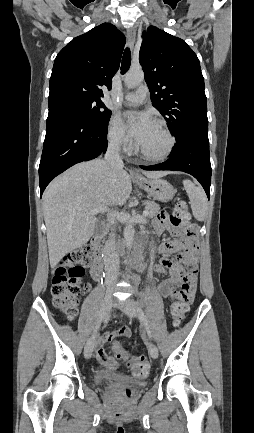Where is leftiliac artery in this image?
<instances>
[{"label": "left iliac artery", "mask_w": 254, "mask_h": 433, "mask_svg": "<svg viewBox=\"0 0 254 433\" xmlns=\"http://www.w3.org/2000/svg\"><path fill=\"white\" fill-rule=\"evenodd\" d=\"M137 312H138L139 319H140L142 325L145 327V330H146L149 338H151V332H150V329H149V325H148L145 313H144V311H143V309L141 308L140 305H138Z\"/></svg>", "instance_id": "left-iliac-artery-1"}]
</instances>
